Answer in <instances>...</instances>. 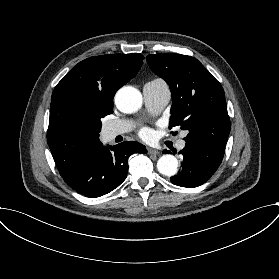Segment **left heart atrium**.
<instances>
[{"instance_id": "1", "label": "left heart atrium", "mask_w": 279, "mask_h": 279, "mask_svg": "<svg viewBox=\"0 0 279 279\" xmlns=\"http://www.w3.org/2000/svg\"><path fill=\"white\" fill-rule=\"evenodd\" d=\"M140 136L142 138H147L149 136V130L147 128H143L140 131Z\"/></svg>"}]
</instances>
